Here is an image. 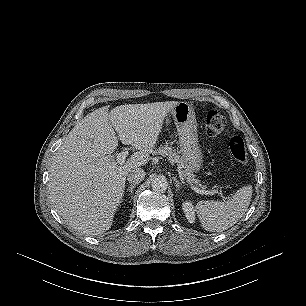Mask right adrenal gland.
<instances>
[{"instance_id":"1","label":"right adrenal gland","mask_w":306,"mask_h":306,"mask_svg":"<svg viewBox=\"0 0 306 306\" xmlns=\"http://www.w3.org/2000/svg\"><path fill=\"white\" fill-rule=\"evenodd\" d=\"M136 187V184H131L128 188H127V190H126V192H130V194H133V189Z\"/></svg>"}]
</instances>
